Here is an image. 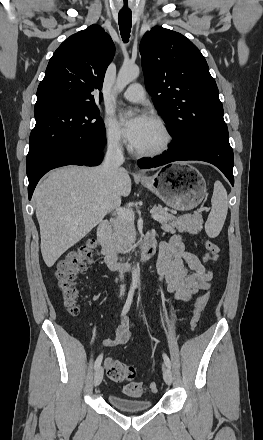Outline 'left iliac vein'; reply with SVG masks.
Returning <instances> with one entry per match:
<instances>
[{"label": "left iliac vein", "instance_id": "1", "mask_svg": "<svg viewBox=\"0 0 263 440\" xmlns=\"http://www.w3.org/2000/svg\"><path fill=\"white\" fill-rule=\"evenodd\" d=\"M163 378L167 385H171L172 383V372L171 369L167 366H163Z\"/></svg>", "mask_w": 263, "mask_h": 440}]
</instances>
